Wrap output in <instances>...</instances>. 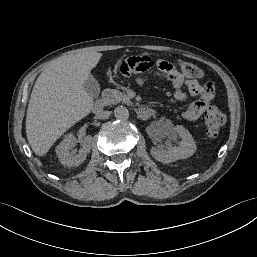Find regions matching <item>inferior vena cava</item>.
Segmentation results:
<instances>
[{
  "label": "inferior vena cava",
  "instance_id": "1",
  "mask_svg": "<svg viewBox=\"0 0 257 257\" xmlns=\"http://www.w3.org/2000/svg\"><path fill=\"white\" fill-rule=\"evenodd\" d=\"M111 112L110 111H99L96 114L97 119H107L109 118Z\"/></svg>",
  "mask_w": 257,
  "mask_h": 257
}]
</instances>
